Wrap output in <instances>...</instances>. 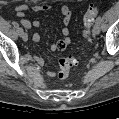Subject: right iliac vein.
Returning <instances> with one entry per match:
<instances>
[{
    "label": "right iliac vein",
    "mask_w": 119,
    "mask_h": 119,
    "mask_svg": "<svg viewBox=\"0 0 119 119\" xmlns=\"http://www.w3.org/2000/svg\"><path fill=\"white\" fill-rule=\"evenodd\" d=\"M21 37H22L23 41H25V42L28 40V34L25 33V32H23V34L21 35Z\"/></svg>",
    "instance_id": "1"
}]
</instances>
